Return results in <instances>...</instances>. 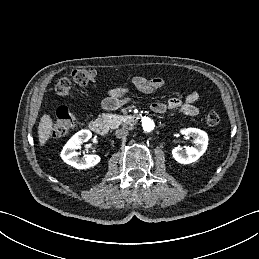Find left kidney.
Listing matches in <instances>:
<instances>
[{"label":"left kidney","instance_id":"1","mask_svg":"<svg viewBox=\"0 0 259 259\" xmlns=\"http://www.w3.org/2000/svg\"><path fill=\"white\" fill-rule=\"evenodd\" d=\"M181 133L186 136H191L194 139L195 146L186 147L185 152L181 147H175L172 150V156L178 163H193L197 161L206 151L209 140L208 135L206 132L197 128H186L181 130Z\"/></svg>","mask_w":259,"mask_h":259}]
</instances>
